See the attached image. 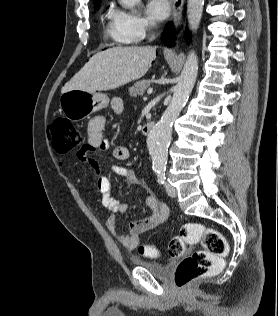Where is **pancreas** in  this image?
Returning a JSON list of instances; mask_svg holds the SVG:
<instances>
[{
	"mask_svg": "<svg viewBox=\"0 0 278 316\" xmlns=\"http://www.w3.org/2000/svg\"><path fill=\"white\" fill-rule=\"evenodd\" d=\"M149 86L150 80L137 81L132 87L129 88V95L131 97L141 96L145 93Z\"/></svg>",
	"mask_w": 278,
	"mask_h": 316,
	"instance_id": "pancreas-1",
	"label": "pancreas"
}]
</instances>
